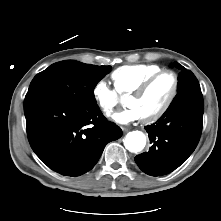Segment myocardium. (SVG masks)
I'll use <instances>...</instances> for the list:
<instances>
[{
    "instance_id": "1",
    "label": "myocardium",
    "mask_w": 221,
    "mask_h": 221,
    "mask_svg": "<svg viewBox=\"0 0 221 221\" xmlns=\"http://www.w3.org/2000/svg\"><path fill=\"white\" fill-rule=\"evenodd\" d=\"M169 73L172 78H173V86H172V90L170 92V95L168 97V99L166 100V102L164 103V105L157 110L154 114L142 118V121L144 123H153L158 121L160 118H162L167 111L170 109V107L172 106L177 94H178V89H179V76L178 74L172 70V69H163L160 70L156 73H154L153 75H151L149 78H147L138 88H136L134 91H132L130 94V96H135V97H140L143 96L148 89L151 87V85L163 74Z\"/></svg>"
}]
</instances>
